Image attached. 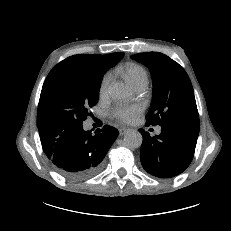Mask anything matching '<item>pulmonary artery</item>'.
I'll return each mask as SVG.
<instances>
[{
    "instance_id": "1",
    "label": "pulmonary artery",
    "mask_w": 231,
    "mask_h": 231,
    "mask_svg": "<svg viewBox=\"0 0 231 231\" xmlns=\"http://www.w3.org/2000/svg\"><path fill=\"white\" fill-rule=\"evenodd\" d=\"M143 89H144V88H139V89H137L136 91H137V92H140V91H142ZM156 132H157V133H160V132H161V127H157V128H156Z\"/></svg>"
}]
</instances>
